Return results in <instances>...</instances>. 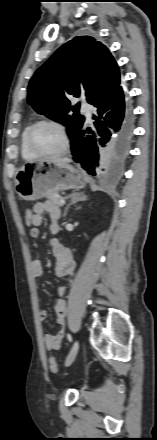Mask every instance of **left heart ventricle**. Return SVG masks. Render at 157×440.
Segmentation results:
<instances>
[{"label":"left heart ventricle","instance_id":"b2bd125f","mask_svg":"<svg viewBox=\"0 0 157 440\" xmlns=\"http://www.w3.org/2000/svg\"><path fill=\"white\" fill-rule=\"evenodd\" d=\"M33 144L41 152L53 153L62 148L63 139L59 130L54 126L41 125L33 134Z\"/></svg>","mask_w":157,"mask_h":440}]
</instances>
